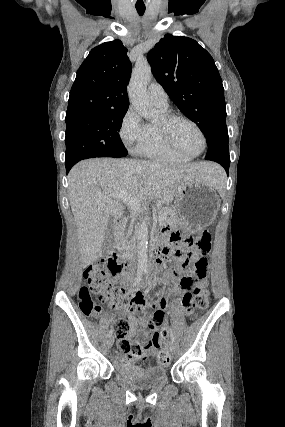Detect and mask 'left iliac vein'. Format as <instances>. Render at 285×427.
<instances>
[{
  "mask_svg": "<svg viewBox=\"0 0 285 427\" xmlns=\"http://www.w3.org/2000/svg\"><path fill=\"white\" fill-rule=\"evenodd\" d=\"M169 349H170L171 354H176L177 345L173 341H171L169 344Z\"/></svg>",
  "mask_w": 285,
  "mask_h": 427,
  "instance_id": "1",
  "label": "left iliac vein"
}]
</instances>
